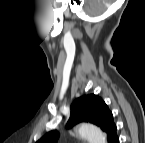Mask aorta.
<instances>
[{"mask_svg": "<svg viewBox=\"0 0 145 143\" xmlns=\"http://www.w3.org/2000/svg\"><path fill=\"white\" fill-rule=\"evenodd\" d=\"M77 133L82 138L88 140L89 143H106L105 134L98 127L91 124H81Z\"/></svg>", "mask_w": 145, "mask_h": 143, "instance_id": "1", "label": "aorta"}]
</instances>
